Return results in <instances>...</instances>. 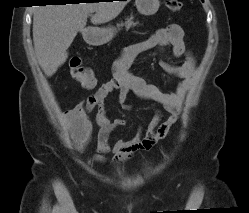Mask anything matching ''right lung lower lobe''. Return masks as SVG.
I'll use <instances>...</instances> for the list:
<instances>
[{"mask_svg":"<svg viewBox=\"0 0 249 213\" xmlns=\"http://www.w3.org/2000/svg\"><path fill=\"white\" fill-rule=\"evenodd\" d=\"M66 1H67V0H47V2L57 3L58 5H59V4L67 3ZM109 1H111V0H109ZM125 1H126V0H125Z\"/></svg>","mask_w":249,"mask_h":213,"instance_id":"right-lung-lower-lobe-1","label":"right lung lower lobe"}]
</instances>
